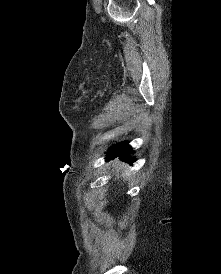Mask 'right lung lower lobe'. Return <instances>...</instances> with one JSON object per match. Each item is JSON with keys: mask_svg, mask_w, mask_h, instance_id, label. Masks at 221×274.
Masks as SVG:
<instances>
[{"mask_svg": "<svg viewBox=\"0 0 221 274\" xmlns=\"http://www.w3.org/2000/svg\"><path fill=\"white\" fill-rule=\"evenodd\" d=\"M132 149L126 142L119 143L112 146L107 153L108 159H114L115 157H120L121 160H126L130 163L135 161L134 157H131Z\"/></svg>", "mask_w": 221, "mask_h": 274, "instance_id": "1", "label": "right lung lower lobe"}]
</instances>
